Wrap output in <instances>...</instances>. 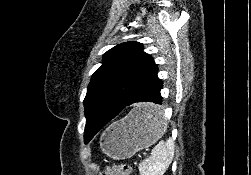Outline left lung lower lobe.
<instances>
[{
  "label": "left lung lower lobe",
  "mask_w": 251,
  "mask_h": 175,
  "mask_svg": "<svg viewBox=\"0 0 251 175\" xmlns=\"http://www.w3.org/2000/svg\"><path fill=\"white\" fill-rule=\"evenodd\" d=\"M158 67L147 74L135 87L130 98L123 104L110 103L94 112V117L104 126L114 118L157 120L164 115L160 90L163 83L157 76Z\"/></svg>",
  "instance_id": "left-lung-lower-lobe-1"
}]
</instances>
